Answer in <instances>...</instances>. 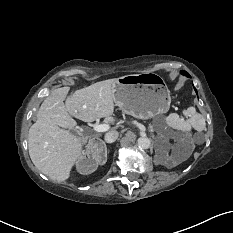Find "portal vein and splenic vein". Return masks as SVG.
<instances>
[{"instance_id":"portal-vein-and-splenic-vein-1","label":"portal vein and splenic vein","mask_w":233,"mask_h":233,"mask_svg":"<svg viewBox=\"0 0 233 233\" xmlns=\"http://www.w3.org/2000/svg\"><path fill=\"white\" fill-rule=\"evenodd\" d=\"M110 126L108 124H95L93 126V130L96 132H105L109 130Z\"/></svg>"}]
</instances>
